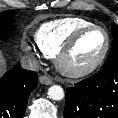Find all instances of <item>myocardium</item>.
<instances>
[{
  "label": "myocardium",
  "instance_id": "obj_1",
  "mask_svg": "<svg viewBox=\"0 0 118 118\" xmlns=\"http://www.w3.org/2000/svg\"><path fill=\"white\" fill-rule=\"evenodd\" d=\"M93 30H100L104 33L106 38V45L105 48L100 55V57L93 62L91 65L80 68V69H73L66 65V60L68 56L71 54L73 49L76 47L80 39L87 34L90 31ZM111 47V37L109 35V32L102 26L92 24L86 27H83L79 30H77L70 38L69 40L63 45L59 53L57 54L55 58V65L57 70L64 76L69 78H80L87 76L91 73H93L95 70H97L105 61Z\"/></svg>",
  "mask_w": 118,
  "mask_h": 118
}]
</instances>
